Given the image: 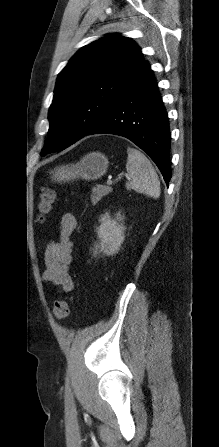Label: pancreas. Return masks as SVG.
<instances>
[{
    "instance_id": "obj_1",
    "label": "pancreas",
    "mask_w": 219,
    "mask_h": 447,
    "mask_svg": "<svg viewBox=\"0 0 219 447\" xmlns=\"http://www.w3.org/2000/svg\"><path fill=\"white\" fill-rule=\"evenodd\" d=\"M112 192V188L109 186H98L92 189L91 202L95 205L97 204L102 197L108 195Z\"/></svg>"
}]
</instances>
